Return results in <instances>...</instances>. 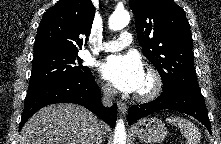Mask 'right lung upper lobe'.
Returning a JSON list of instances; mask_svg holds the SVG:
<instances>
[{
    "label": "right lung upper lobe",
    "mask_w": 221,
    "mask_h": 144,
    "mask_svg": "<svg viewBox=\"0 0 221 144\" xmlns=\"http://www.w3.org/2000/svg\"><path fill=\"white\" fill-rule=\"evenodd\" d=\"M94 15L95 8L91 0H59L42 17L34 53L78 52L86 43Z\"/></svg>",
    "instance_id": "1"
}]
</instances>
